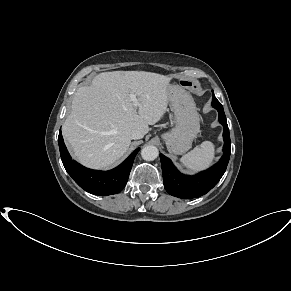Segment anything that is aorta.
<instances>
[{"instance_id":"obj_1","label":"aorta","mask_w":291,"mask_h":291,"mask_svg":"<svg viewBox=\"0 0 291 291\" xmlns=\"http://www.w3.org/2000/svg\"><path fill=\"white\" fill-rule=\"evenodd\" d=\"M159 155L158 149L156 146L148 145L143 147L141 150V156L146 161H152L156 159Z\"/></svg>"}]
</instances>
